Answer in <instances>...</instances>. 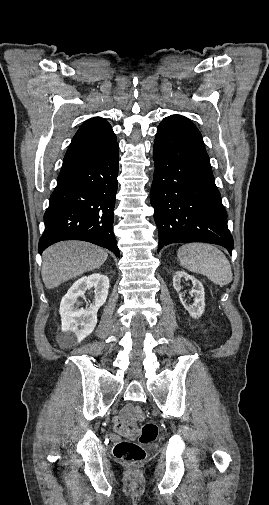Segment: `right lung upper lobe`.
<instances>
[{
  "label": "right lung upper lobe",
  "mask_w": 269,
  "mask_h": 505,
  "mask_svg": "<svg viewBox=\"0 0 269 505\" xmlns=\"http://www.w3.org/2000/svg\"><path fill=\"white\" fill-rule=\"evenodd\" d=\"M116 142L110 124L101 117L83 123L65 154L63 165L81 161L99 154Z\"/></svg>",
  "instance_id": "cb5924a9"
}]
</instances>
